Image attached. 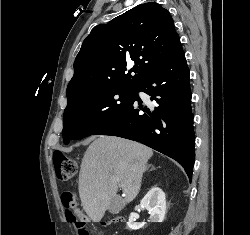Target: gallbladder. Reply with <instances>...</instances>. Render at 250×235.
Instances as JSON below:
<instances>
[{
	"label": "gallbladder",
	"instance_id": "gallbladder-1",
	"mask_svg": "<svg viewBox=\"0 0 250 235\" xmlns=\"http://www.w3.org/2000/svg\"><path fill=\"white\" fill-rule=\"evenodd\" d=\"M124 207L120 198H113L109 204L108 210L112 214H117Z\"/></svg>",
	"mask_w": 250,
	"mask_h": 235
}]
</instances>
